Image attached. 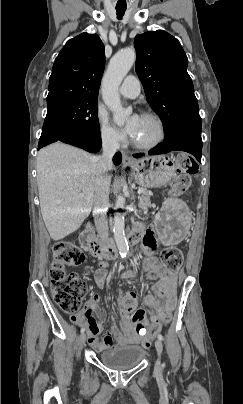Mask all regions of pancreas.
<instances>
[{
	"mask_svg": "<svg viewBox=\"0 0 243 404\" xmlns=\"http://www.w3.org/2000/svg\"><path fill=\"white\" fill-rule=\"evenodd\" d=\"M138 200H139L138 206L140 208V212H142V214H147L148 208H150V206H151L150 192L149 193L143 192V194H141V196H139Z\"/></svg>",
	"mask_w": 243,
	"mask_h": 404,
	"instance_id": "1",
	"label": "pancreas"
}]
</instances>
